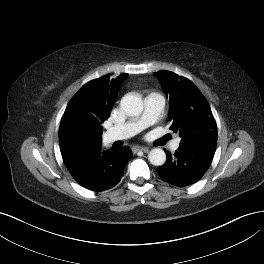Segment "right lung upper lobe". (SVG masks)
Instances as JSON below:
<instances>
[{"mask_svg":"<svg viewBox=\"0 0 264 264\" xmlns=\"http://www.w3.org/2000/svg\"><path fill=\"white\" fill-rule=\"evenodd\" d=\"M128 74L115 79L108 75L86 83L70 100L59 129L60 147L99 140L101 124L110 116L122 82Z\"/></svg>","mask_w":264,"mask_h":264,"instance_id":"cb5924a9","label":"right lung upper lobe"}]
</instances>
